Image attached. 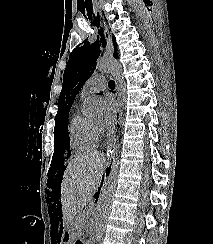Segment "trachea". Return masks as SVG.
<instances>
[{
    "instance_id": "1",
    "label": "trachea",
    "mask_w": 213,
    "mask_h": 244,
    "mask_svg": "<svg viewBox=\"0 0 213 244\" xmlns=\"http://www.w3.org/2000/svg\"><path fill=\"white\" fill-rule=\"evenodd\" d=\"M108 85L110 88H115V82L113 80H111Z\"/></svg>"
}]
</instances>
